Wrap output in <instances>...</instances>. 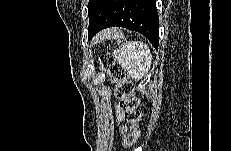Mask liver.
I'll return each mask as SVG.
<instances>
[{"instance_id":"1","label":"liver","mask_w":231,"mask_h":151,"mask_svg":"<svg viewBox=\"0 0 231 151\" xmlns=\"http://www.w3.org/2000/svg\"><path fill=\"white\" fill-rule=\"evenodd\" d=\"M111 32H114V30L108 31V32H104V35H108V34L111 33Z\"/></svg>"}]
</instances>
